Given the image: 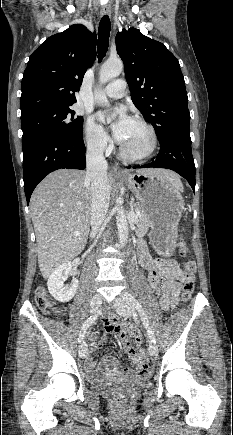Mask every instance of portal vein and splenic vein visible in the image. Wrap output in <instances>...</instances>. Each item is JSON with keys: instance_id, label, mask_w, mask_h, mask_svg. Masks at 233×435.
<instances>
[{"instance_id": "portal-vein-and-splenic-vein-1", "label": "portal vein and splenic vein", "mask_w": 233, "mask_h": 435, "mask_svg": "<svg viewBox=\"0 0 233 435\" xmlns=\"http://www.w3.org/2000/svg\"><path fill=\"white\" fill-rule=\"evenodd\" d=\"M139 215H140V213H139V212H136V213H135V218H137ZM74 235H75V236H79V232H75Z\"/></svg>"}]
</instances>
